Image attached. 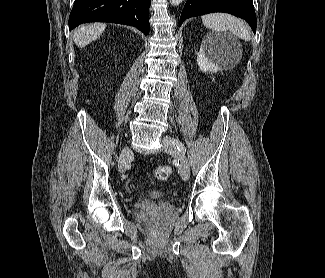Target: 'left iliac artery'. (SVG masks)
<instances>
[{"instance_id":"44dca946","label":"left iliac artery","mask_w":325,"mask_h":278,"mask_svg":"<svg viewBox=\"0 0 325 278\" xmlns=\"http://www.w3.org/2000/svg\"><path fill=\"white\" fill-rule=\"evenodd\" d=\"M172 141H173V143H175V145L177 146V149L180 152H182V153L186 152L185 146L179 140L172 139Z\"/></svg>"}]
</instances>
